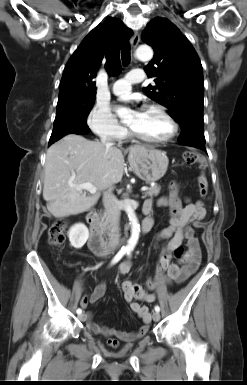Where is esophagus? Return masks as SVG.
<instances>
[{
  "instance_id": "34e87169",
  "label": "esophagus",
  "mask_w": 247,
  "mask_h": 385,
  "mask_svg": "<svg viewBox=\"0 0 247 385\" xmlns=\"http://www.w3.org/2000/svg\"><path fill=\"white\" fill-rule=\"evenodd\" d=\"M139 41H140L139 33L138 32H134V35H133V37L131 39V45H132L133 50L136 49V47L138 46Z\"/></svg>"
}]
</instances>
